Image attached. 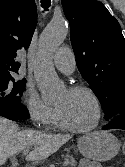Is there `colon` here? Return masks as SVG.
Instances as JSON below:
<instances>
[{
	"label": "colon",
	"mask_w": 125,
	"mask_h": 167,
	"mask_svg": "<svg viewBox=\"0 0 125 167\" xmlns=\"http://www.w3.org/2000/svg\"><path fill=\"white\" fill-rule=\"evenodd\" d=\"M123 153L125 154V143L123 144Z\"/></svg>",
	"instance_id": "obj_1"
}]
</instances>
